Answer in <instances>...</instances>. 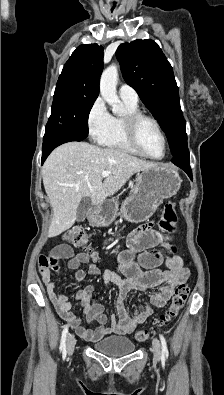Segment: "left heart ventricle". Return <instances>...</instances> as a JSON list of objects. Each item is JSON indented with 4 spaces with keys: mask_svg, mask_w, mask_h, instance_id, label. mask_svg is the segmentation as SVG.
I'll return each instance as SVG.
<instances>
[{
    "mask_svg": "<svg viewBox=\"0 0 224 395\" xmlns=\"http://www.w3.org/2000/svg\"><path fill=\"white\" fill-rule=\"evenodd\" d=\"M139 140L143 148L154 157H161L164 154V143L162 137L148 121L141 123L139 127Z\"/></svg>",
    "mask_w": 224,
    "mask_h": 395,
    "instance_id": "left-heart-ventricle-1",
    "label": "left heart ventricle"
}]
</instances>
